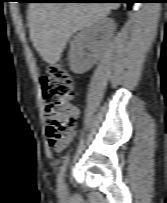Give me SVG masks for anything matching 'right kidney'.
<instances>
[{"mask_svg": "<svg viewBox=\"0 0 167 203\" xmlns=\"http://www.w3.org/2000/svg\"><path fill=\"white\" fill-rule=\"evenodd\" d=\"M116 29L111 18H103L94 25L77 33L69 51L70 69L83 74L96 63L105 49L107 41Z\"/></svg>", "mask_w": 167, "mask_h": 203, "instance_id": "1", "label": "right kidney"}]
</instances>
